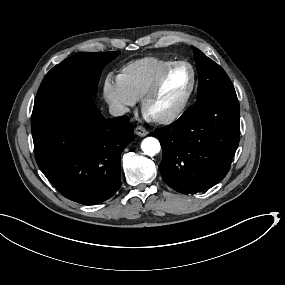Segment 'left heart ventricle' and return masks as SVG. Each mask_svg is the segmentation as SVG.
Listing matches in <instances>:
<instances>
[{"instance_id": "left-heart-ventricle-1", "label": "left heart ventricle", "mask_w": 285, "mask_h": 285, "mask_svg": "<svg viewBox=\"0 0 285 285\" xmlns=\"http://www.w3.org/2000/svg\"><path fill=\"white\" fill-rule=\"evenodd\" d=\"M189 88V81L184 73L173 74L162 89L152 97L145 111L154 117L175 109L183 100Z\"/></svg>"}]
</instances>
